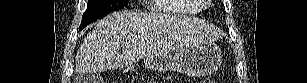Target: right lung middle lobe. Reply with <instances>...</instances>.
<instances>
[{"label": "right lung middle lobe", "instance_id": "dd1d6c3e", "mask_svg": "<svg viewBox=\"0 0 307 83\" xmlns=\"http://www.w3.org/2000/svg\"><path fill=\"white\" fill-rule=\"evenodd\" d=\"M128 3L129 0H88L87 10L83 14L80 29L106 16L111 11L122 9Z\"/></svg>", "mask_w": 307, "mask_h": 83}]
</instances>
